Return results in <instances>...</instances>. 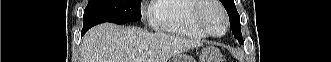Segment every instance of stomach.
<instances>
[{
  "mask_svg": "<svg viewBox=\"0 0 331 62\" xmlns=\"http://www.w3.org/2000/svg\"><path fill=\"white\" fill-rule=\"evenodd\" d=\"M169 62H195L186 55H176ZM200 62H221L220 51L212 46L204 47L200 54Z\"/></svg>",
  "mask_w": 331,
  "mask_h": 62,
  "instance_id": "1",
  "label": "stomach"
}]
</instances>
